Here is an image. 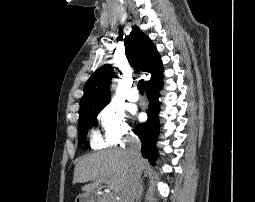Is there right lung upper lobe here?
Segmentation results:
<instances>
[{
    "mask_svg": "<svg viewBox=\"0 0 255 202\" xmlns=\"http://www.w3.org/2000/svg\"><path fill=\"white\" fill-rule=\"evenodd\" d=\"M124 42L126 57L133 67L151 74L145 87L162 81V61L156 47L137 26L126 36ZM112 67L105 64L97 69L87 81L81 99L79 113L91 109H102L110 102V81Z\"/></svg>",
    "mask_w": 255,
    "mask_h": 202,
    "instance_id": "cb5924a9",
    "label": "right lung upper lobe"
}]
</instances>
